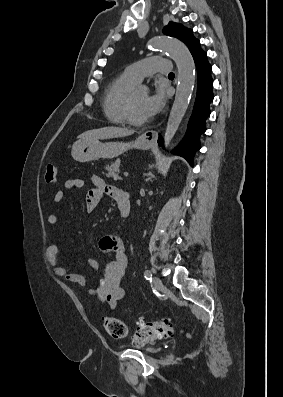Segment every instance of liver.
I'll return each instance as SVG.
<instances>
[{"instance_id": "liver-1", "label": "liver", "mask_w": 283, "mask_h": 397, "mask_svg": "<svg viewBox=\"0 0 283 397\" xmlns=\"http://www.w3.org/2000/svg\"><path fill=\"white\" fill-rule=\"evenodd\" d=\"M134 134L133 130L115 126H108L99 129L86 131L78 136V141H86L92 139H108L125 137Z\"/></svg>"}]
</instances>
